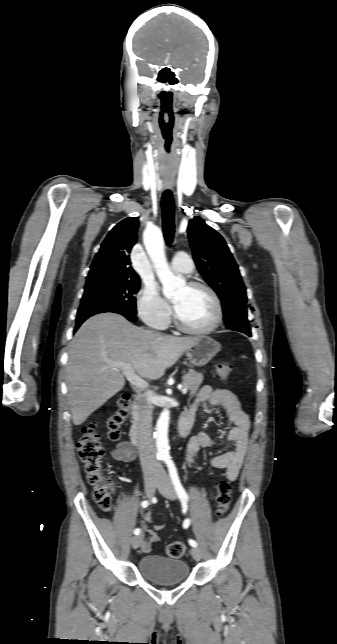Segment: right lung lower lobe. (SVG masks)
Instances as JSON below:
<instances>
[{
    "label": "right lung lower lobe",
    "instance_id": "right-lung-lower-lobe-1",
    "mask_svg": "<svg viewBox=\"0 0 337 644\" xmlns=\"http://www.w3.org/2000/svg\"><path fill=\"white\" fill-rule=\"evenodd\" d=\"M107 312H114V313L121 314V315H123L124 317H126L129 321H131V322H136V320H137V317H136V315H135V314H131V313H128V312H125V311H107ZM87 318H89V317L82 318V319H79V320H77V321H76V326H75L74 332H75V331L80 327V325H81V324H82V323H83Z\"/></svg>",
    "mask_w": 337,
    "mask_h": 644
}]
</instances>
